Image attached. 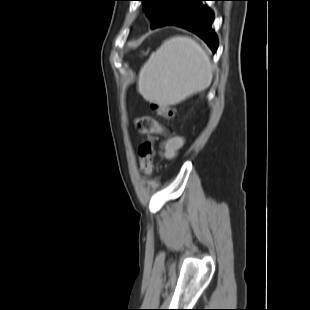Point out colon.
Wrapping results in <instances>:
<instances>
[{
    "instance_id": "colon-1",
    "label": "colon",
    "mask_w": 310,
    "mask_h": 310,
    "mask_svg": "<svg viewBox=\"0 0 310 310\" xmlns=\"http://www.w3.org/2000/svg\"><path fill=\"white\" fill-rule=\"evenodd\" d=\"M151 107L153 111L164 120L170 121L175 117L174 106L169 103L153 102ZM157 141V135L147 133L146 139L138 148L141 170L148 177L152 176L154 173V158L156 155L155 145Z\"/></svg>"
}]
</instances>
